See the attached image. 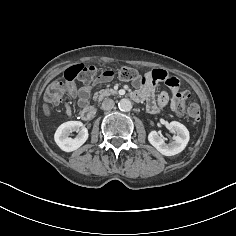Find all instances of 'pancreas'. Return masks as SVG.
<instances>
[{
    "instance_id": "pancreas-1",
    "label": "pancreas",
    "mask_w": 236,
    "mask_h": 236,
    "mask_svg": "<svg viewBox=\"0 0 236 236\" xmlns=\"http://www.w3.org/2000/svg\"><path fill=\"white\" fill-rule=\"evenodd\" d=\"M116 91L113 89H101L98 92H96L93 96V99H98L99 101H101L104 97L110 96V95H115Z\"/></svg>"
}]
</instances>
